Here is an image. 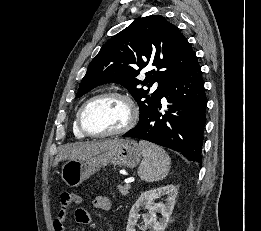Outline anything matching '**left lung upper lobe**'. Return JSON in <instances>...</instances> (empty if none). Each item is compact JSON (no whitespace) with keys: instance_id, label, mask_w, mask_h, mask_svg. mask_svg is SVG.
<instances>
[{"instance_id":"obj_1","label":"left lung upper lobe","mask_w":261,"mask_h":231,"mask_svg":"<svg viewBox=\"0 0 261 231\" xmlns=\"http://www.w3.org/2000/svg\"><path fill=\"white\" fill-rule=\"evenodd\" d=\"M195 59V52L175 25L162 16L139 18L103 45L89 64L77 97L101 84L119 83L137 101L141 118L161 100L167 83ZM146 68L151 70L139 80L138 74ZM154 82L158 87L153 93L141 88Z\"/></svg>"}]
</instances>
